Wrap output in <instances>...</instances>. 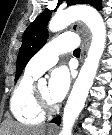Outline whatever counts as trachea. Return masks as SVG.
Masks as SVG:
<instances>
[{
    "mask_svg": "<svg viewBox=\"0 0 112 135\" xmlns=\"http://www.w3.org/2000/svg\"><path fill=\"white\" fill-rule=\"evenodd\" d=\"M74 54H80V49H76V50L74 51Z\"/></svg>",
    "mask_w": 112,
    "mask_h": 135,
    "instance_id": "1",
    "label": "trachea"
}]
</instances>
